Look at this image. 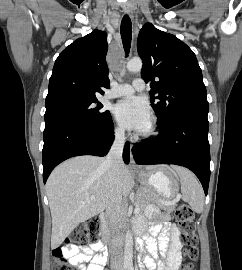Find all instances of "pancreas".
Returning a JSON list of instances; mask_svg holds the SVG:
<instances>
[{"instance_id":"cf45deb5","label":"pancreas","mask_w":242,"mask_h":270,"mask_svg":"<svg viewBox=\"0 0 242 270\" xmlns=\"http://www.w3.org/2000/svg\"><path fill=\"white\" fill-rule=\"evenodd\" d=\"M164 202L166 201L160 200L153 191L146 188H141L138 191L135 199L136 206H138L141 210H144L146 206L150 203L158 204L161 209H163L168 213L172 212L175 209L176 207L175 204H165ZM125 223H126V214L123 213L121 216L119 227L123 228L125 226Z\"/></svg>"}]
</instances>
